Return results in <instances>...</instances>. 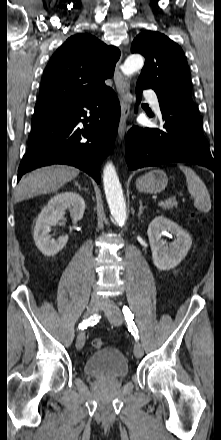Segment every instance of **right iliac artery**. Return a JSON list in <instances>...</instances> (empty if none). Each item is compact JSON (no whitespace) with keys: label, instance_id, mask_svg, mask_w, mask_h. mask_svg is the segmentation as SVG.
<instances>
[{"label":"right iliac artery","instance_id":"right-iliac-artery-1","mask_svg":"<svg viewBox=\"0 0 221 440\" xmlns=\"http://www.w3.org/2000/svg\"><path fill=\"white\" fill-rule=\"evenodd\" d=\"M99 318H100V316L95 314V315L91 316L89 319L83 320V322L79 324V329H85L90 324H92V325L96 324L97 321L99 320Z\"/></svg>","mask_w":221,"mask_h":440}]
</instances>
